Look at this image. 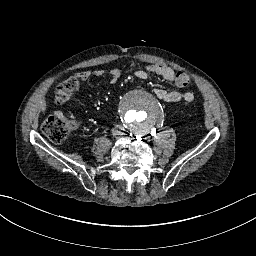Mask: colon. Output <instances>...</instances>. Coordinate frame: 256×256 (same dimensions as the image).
<instances>
[{
    "mask_svg": "<svg viewBox=\"0 0 256 256\" xmlns=\"http://www.w3.org/2000/svg\"><path fill=\"white\" fill-rule=\"evenodd\" d=\"M175 81L177 86L181 88L187 87L192 83L190 76L181 71L176 73ZM80 83L81 79L78 76L70 77L60 83L54 96V103L57 105L65 104L70 95L79 88ZM71 128V123L65 119L63 113L49 116L42 125L43 132L53 142L64 141Z\"/></svg>",
    "mask_w": 256,
    "mask_h": 256,
    "instance_id": "obj_1",
    "label": "colon"
}]
</instances>
